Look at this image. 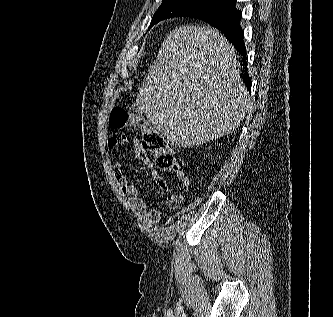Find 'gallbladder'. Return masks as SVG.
<instances>
[{
    "mask_svg": "<svg viewBox=\"0 0 333 317\" xmlns=\"http://www.w3.org/2000/svg\"><path fill=\"white\" fill-rule=\"evenodd\" d=\"M132 109H133L135 112H137L138 114H142V113H143L140 109H138V107H137L136 104H134V105L132 106Z\"/></svg>",
    "mask_w": 333,
    "mask_h": 317,
    "instance_id": "obj_1",
    "label": "gallbladder"
}]
</instances>
